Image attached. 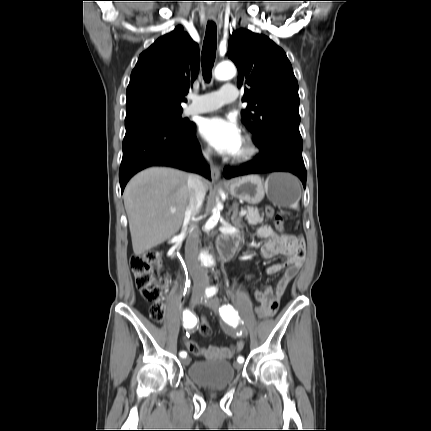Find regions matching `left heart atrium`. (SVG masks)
Returning a JSON list of instances; mask_svg holds the SVG:
<instances>
[{
	"mask_svg": "<svg viewBox=\"0 0 431 431\" xmlns=\"http://www.w3.org/2000/svg\"><path fill=\"white\" fill-rule=\"evenodd\" d=\"M201 137L223 154L235 155L243 138L237 124L221 116L204 118L199 126Z\"/></svg>",
	"mask_w": 431,
	"mask_h": 431,
	"instance_id": "39dd6f15",
	"label": "left heart atrium"
}]
</instances>
